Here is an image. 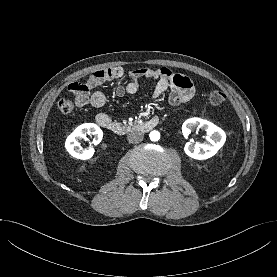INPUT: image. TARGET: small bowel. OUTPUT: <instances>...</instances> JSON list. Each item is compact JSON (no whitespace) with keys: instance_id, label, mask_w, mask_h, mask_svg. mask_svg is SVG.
<instances>
[{"instance_id":"obj_1","label":"small bowel","mask_w":277,"mask_h":277,"mask_svg":"<svg viewBox=\"0 0 277 277\" xmlns=\"http://www.w3.org/2000/svg\"><path fill=\"white\" fill-rule=\"evenodd\" d=\"M123 75L124 70L121 67L98 70L88 76L83 83H79V86L85 87L84 90H75L76 83L71 84L69 89L75 95L78 106L90 104L95 108H101L106 103V96L100 91L90 94V89L108 81L121 79ZM142 79L156 81L153 91L154 99H158L166 91H169V101L173 105L187 103L195 94V87L188 77L173 73L166 67H161L158 69L139 68L130 71L129 80L117 85L116 95L123 97L125 94H135ZM102 119H110V117L106 113H99L96 116L97 123L99 124Z\"/></svg>"}]
</instances>
